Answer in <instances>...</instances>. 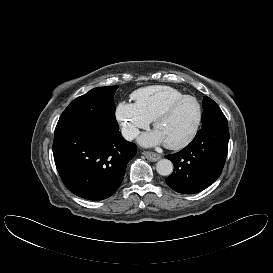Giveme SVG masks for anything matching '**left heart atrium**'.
<instances>
[{"label": "left heart atrium", "instance_id": "left-heart-atrium-1", "mask_svg": "<svg viewBox=\"0 0 273 273\" xmlns=\"http://www.w3.org/2000/svg\"><path fill=\"white\" fill-rule=\"evenodd\" d=\"M139 143L144 146H153L164 143L162 137L158 134V132L152 131L145 134H142L139 137Z\"/></svg>", "mask_w": 273, "mask_h": 273}]
</instances>
